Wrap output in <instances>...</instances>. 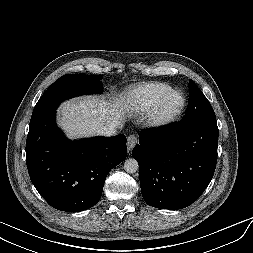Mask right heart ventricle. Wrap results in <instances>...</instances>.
Wrapping results in <instances>:
<instances>
[{"instance_id":"e07e8e85","label":"right heart ventricle","mask_w":253,"mask_h":253,"mask_svg":"<svg viewBox=\"0 0 253 253\" xmlns=\"http://www.w3.org/2000/svg\"><path fill=\"white\" fill-rule=\"evenodd\" d=\"M171 86L165 82L151 81L131 88L124 97L126 108L135 114H145L151 110L161 95Z\"/></svg>"}]
</instances>
